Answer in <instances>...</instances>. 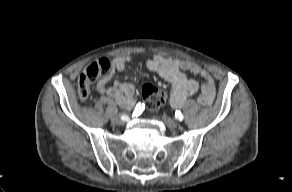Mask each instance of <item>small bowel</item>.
<instances>
[{"label": "small bowel", "instance_id": "small-bowel-1", "mask_svg": "<svg viewBox=\"0 0 292 192\" xmlns=\"http://www.w3.org/2000/svg\"><path fill=\"white\" fill-rule=\"evenodd\" d=\"M132 60L129 56H120L112 61V68L108 74L101 78L97 84L100 93L107 94L125 110H130L136 103L135 88L129 83H122L114 80L111 84L115 71H124L126 64ZM145 67L157 73L167 81L170 86V103L179 108L185 100L201 90L200 101L203 104H211L215 96V84L210 73L199 65L174 58H166L161 55H154L145 61ZM187 72L198 75L202 78V84L187 76Z\"/></svg>", "mask_w": 292, "mask_h": 192}]
</instances>
